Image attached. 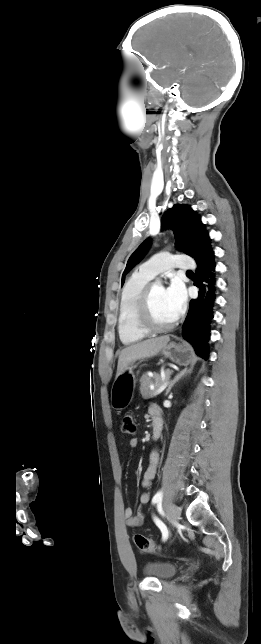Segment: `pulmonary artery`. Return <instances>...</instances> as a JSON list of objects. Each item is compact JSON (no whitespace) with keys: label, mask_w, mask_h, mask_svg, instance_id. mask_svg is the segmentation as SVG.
Instances as JSON below:
<instances>
[{"label":"pulmonary artery","mask_w":261,"mask_h":644,"mask_svg":"<svg viewBox=\"0 0 261 644\" xmlns=\"http://www.w3.org/2000/svg\"><path fill=\"white\" fill-rule=\"evenodd\" d=\"M194 267L195 263L189 256L164 252L153 256L151 259L140 265L139 271L153 278L157 274L173 268L190 270Z\"/></svg>","instance_id":"pulmonary-artery-1"}]
</instances>
